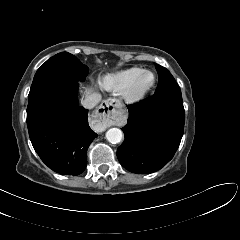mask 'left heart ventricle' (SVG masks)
<instances>
[{
    "mask_svg": "<svg viewBox=\"0 0 240 240\" xmlns=\"http://www.w3.org/2000/svg\"><path fill=\"white\" fill-rule=\"evenodd\" d=\"M152 80H153V77H152L151 74H145L141 78V80H140V82L138 84V88L139 89H144V88L148 87L152 83Z\"/></svg>",
    "mask_w": 240,
    "mask_h": 240,
    "instance_id": "1",
    "label": "left heart ventricle"
}]
</instances>
